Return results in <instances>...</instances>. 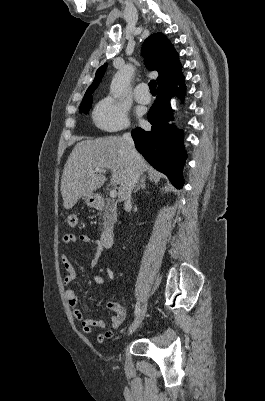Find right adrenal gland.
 Wrapping results in <instances>:
<instances>
[{
    "mask_svg": "<svg viewBox=\"0 0 265 401\" xmlns=\"http://www.w3.org/2000/svg\"><path fill=\"white\" fill-rule=\"evenodd\" d=\"M145 180H146V176H142L139 184H137V186H136L135 190H133V192H137V190H140V188H146Z\"/></svg>",
    "mask_w": 265,
    "mask_h": 401,
    "instance_id": "1",
    "label": "right adrenal gland"
}]
</instances>
